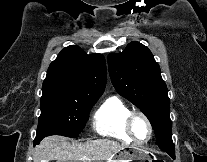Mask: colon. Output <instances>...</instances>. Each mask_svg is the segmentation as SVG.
Returning a JSON list of instances; mask_svg holds the SVG:
<instances>
[{
    "instance_id": "1",
    "label": "colon",
    "mask_w": 207,
    "mask_h": 162,
    "mask_svg": "<svg viewBox=\"0 0 207 162\" xmlns=\"http://www.w3.org/2000/svg\"><path fill=\"white\" fill-rule=\"evenodd\" d=\"M147 162H166V161H164V160H160V159H154V160L147 161Z\"/></svg>"
}]
</instances>
